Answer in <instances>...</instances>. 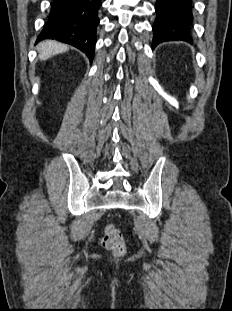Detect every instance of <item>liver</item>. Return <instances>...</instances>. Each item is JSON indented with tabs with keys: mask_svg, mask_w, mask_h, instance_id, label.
I'll return each instance as SVG.
<instances>
[{
	"mask_svg": "<svg viewBox=\"0 0 232 311\" xmlns=\"http://www.w3.org/2000/svg\"><path fill=\"white\" fill-rule=\"evenodd\" d=\"M40 60H47L50 57L68 50V46L57 41L47 40L37 45Z\"/></svg>",
	"mask_w": 232,
	"mask_h": 311,
	"instance_id": "1",
	"label": "liver"
}]
</instances>
